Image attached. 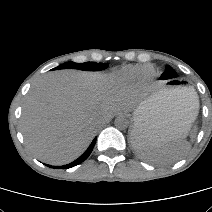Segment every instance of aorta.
Here are the masks:
<instances>
[{
    "label": "aorta",
    "mask_w": 212,
    "mask_h": 212,
    "mask_svg": "<svg viewBox=\"0 0 212 212\" xmlns=\"http://www.w3.org/2000/svg\"><path fill=\"white\" fill-rule=\"evenodd\" d=\"M115 127L124 130L128 127V120L124 116H118L114 121Z\"/></svg>",
    "instance_id": "1"
}]
</instances>
